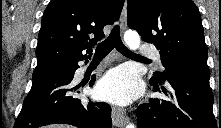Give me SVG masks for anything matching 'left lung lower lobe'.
Returning a JSON list of instances; mask_svg holds the SVG:
<instances>
[{"label":"left lung lower lobe","mask_w":221,"mask_h":128,"mask_svg":"<svg viewBox=\"0 0 221 128\" xmlns=\"http://www.w3.org/2000/svg\"><path fill=\"white\" fill-rule=\"evenodd\" d=\"M209 74L174 68L166 76L170 91L163 83L151 80L153 91L168 99H151L137 109L138 128H218L213 115V94Z\"/></svg>","instance_id":"1"}]
</instances>
